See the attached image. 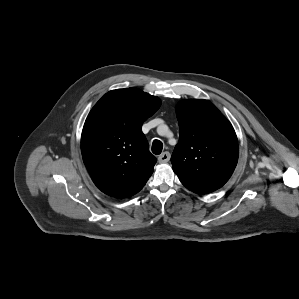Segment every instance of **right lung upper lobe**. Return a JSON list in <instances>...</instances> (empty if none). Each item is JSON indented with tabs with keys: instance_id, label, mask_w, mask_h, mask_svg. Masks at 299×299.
Segmentation results:
<instances>
[{
	"instance_id": "cb5924a9",
	"label": "right lung upper lobe",
	"mask_w": 299,
	"mask_h": 299,
	"mask_svg": "<svg viewBox=\"0 0 299 299\" xmlns=\"http://www.w3.org/2000/svg\"><path fill=\"white\" fill-rule=\"evenodd\" d=\"M160 105L158 97L126 88L106 93L90 111L81 152L94 184L105 194L133 196L153 173L156 158L141 127Z\"/></svg>"
}]
</instances>
